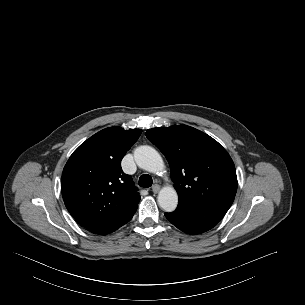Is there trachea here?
Returning a JSON list of instances; mask_svg holds the SVG:
<instances>
[{
    "label": "trachea",
    "instance_id": "obj_1",
    "mask_svg": "<svg viewBox=\"0 0 305 305\" xmlns=\"http://www.w3.org/2000/svg\"><path fill=\"white\" fill-rule=\"evenodd\" d=\"M152 183H153L152 177L148 174H143L139 178L140 187L148 188L152 186Z\"/></svg>",
    "mask_w": 305,
    "mask_h": 305
}]
</instances>
